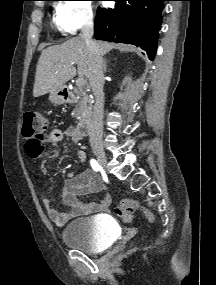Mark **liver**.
<instances>
[{"label": "liver", "instance_id": "obj_1", "mask_svg": "<svg viewBox=\"0 0 216 285\" xmlns=\"http://www.w3.org/2000/svg\"><path fill=\"white\" fill-rule=\"evenodd\" d=\"M101 55L111 51L115 44L94 41ZM77 63L76 71L74 64ZM89 51L81 37L44 49L38 60L33 96L40 97L54 90L64 88V84L72 79L76 72L88 77Z\"/></svg>", "mask_w": 216, "mask_h": 285}]
</instances>
